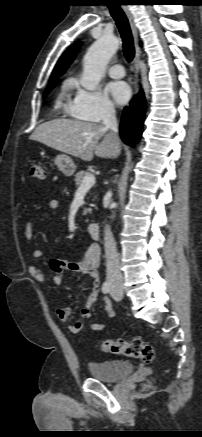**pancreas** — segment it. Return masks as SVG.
Here are the masks:
<instances>
[{
  "label": "pancreas",
  "instance_id": "pancreas-1",
  "mask_svg": "<svg viewBox=\"0 0 202 437\" xmlns=\"http://www.w3.org/2000/svg\"><path fill=\"white\" fill-rule=\"evenodd\" d=\"M90 175H92V173H90L89 171H81V172H78V173L75 175V178H74V181H75L76 186L79 187V186L83 183L84 178H85L86 176H90ZM88 211H89V210H88L87 208H85L84 211H83V214H84V215L87 214Z\"/></svg>",
  "mask_w": 202,
  "mask_h": 437
}]
</instances>
